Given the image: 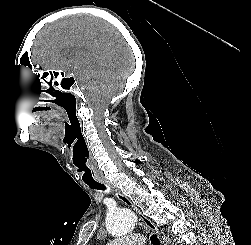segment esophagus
I'll list each match as a JSON object with an SVG mask.
<instances>
[{"label":"esophagus","mask_w":251,"mask_h":245,"mask_svg":"<svg viewBox=\"0 0 251 245\" xmlns=\"http://www.w3.org/2000/svg\"><path fill=\"white\" fill-rule=\"evenodd\" d=\"M103 183L112 190L117 199H119L127 206L131 207L137 213L139 220L143 224H145L149 229H151L152 231L156 232L159 235L161 245H167V241L161 237L162 232L159 231L158 227L151 221V219L146 217L143 214V212L138 207H136L134 203L127 196H125L118 188L113 186L109 180L104 179Z\"/></svg>","instance_id":"obj_1"}]
</instances>
